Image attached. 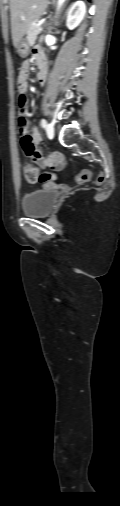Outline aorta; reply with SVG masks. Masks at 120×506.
I'll use <instances>...</instances> for the list:
<instances>
[{"label":"aorta","instance_id":"aorta-1","mask_svg":"<svg viewBox=\"0 0 120 506\" xmlns=\"http://www.w3.org/2000/svg\"><path fill=\"white\" fill-rule=\"evenodd\" d=\"M65 0H58V7H60L63 3H64Z\"/></svg>","mask_w":120,"mask_h":506}]
</instances>
